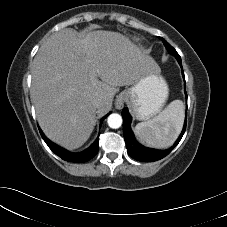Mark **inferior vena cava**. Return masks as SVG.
I'll return each mask as SVG.
<instances>
[{
  "instance_id": "inferior-vena-cava-1",
  "label": "inferior vena cava",
  "mask_w": 227,
  "mask_h": 227,
  "mask_svg": "<svg viewBox=\"0 0 227 227\" xmlns=\"http://www.w3.org/2000/svg\"><path fill=\"white\" fill-rule=\"evenodd\" d=\"M101 105H102V100H101L100 98L94 99V101H93V106H94L95 108H99V107H101Z\"/></svg>"
}]
</instances>
